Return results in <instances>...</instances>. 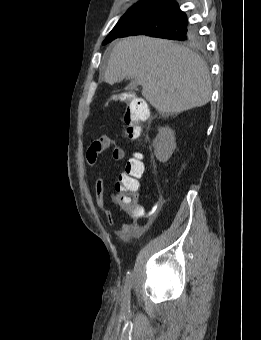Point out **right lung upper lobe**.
I'll return each instance as SVG.
<instances>
[{
    "label": "right lung upper lobe",
    "instance_id": "cb5924a9",
    "mask_svg": "<svg viewBox=\"0 0 261 340\" xmlns=\"http://www.w3.org/2000/svg\"><path fill=\"white\" fill-rule=\"evenodd\" d=\"M162 0H141L140 2H153V3H160Z\"/></svg>",
    "mask_w": 261,
    "mask_h": 340
}]
</instances>
